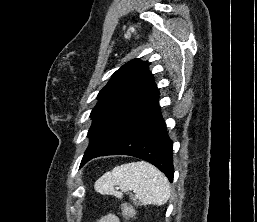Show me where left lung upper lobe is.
I'll use <instances>...</instances> for the list:
<instances>
[{
	"instance_id": "5c2ea615",
	"label": "left lung upper lobe",
	"mask_w": 257,
	"mask_h": 222,
	"mask_svg": "<svg viewBox=\"0 0 257 222\" xmlns=\"http://www.w3.org/2000/svg\"><path fill=\"white\" fill-rule=\"evenodd\" d=\"M148 64L134 59L118 69L98 94L91 112L93 119L88 131L89 146L86 159L97 153L129 121L138 116L156 99L159 92Z\"/></svg>"
}]
</instances>
